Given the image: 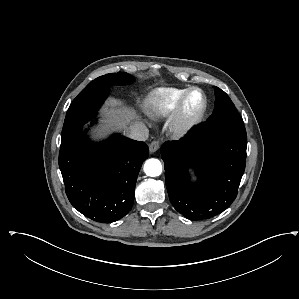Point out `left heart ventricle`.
Segmentation results:
<instances>
[{
	"label": "left heart ventricle",
	"mask_w": 299,
	"mask_h": 299,
	"mask_svg": "<svg viewBox=\"0 0 299 299\" xmlns=\"http://www.w3.org/2000/svg\"><path fill=\"white\" fill-rule=\"evenodd\" d=\"M200 105H201V96L199 95V93L194 92L189 96L187 100L186 111L188 113H194L199 109Z\"/></svg>",
	"instance_id": "b2bd125f"
}]
</instances>
